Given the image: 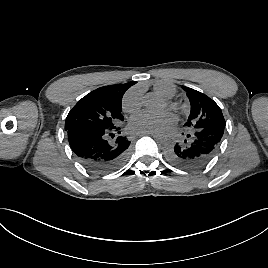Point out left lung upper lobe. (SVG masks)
<instances>
[{
  "label": "left lung upper lobe",
  "instance_id": "obj_1",
  "mask_svg": "<svg viewBox=\"0 0 268 268\" xmlns=\"http://www.w3.org/2000/svg\"><path fill=\"white\" fill-rule=\"evenodd\" d=\"M183 89L187 92L191 104V112L184 126L191 132L226 125L221 109L211 98L185 86Z\"/></svg>",
  "mask_w": 268,
  "mask_h": 268
}]
</instances>
